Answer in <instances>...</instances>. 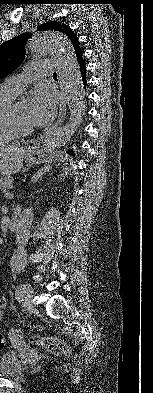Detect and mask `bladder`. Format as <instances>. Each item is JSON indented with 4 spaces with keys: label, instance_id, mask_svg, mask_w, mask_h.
I'll list each match as a JSON object with an SVG mask.
<instances>
[{
    "label": "bladder",
    "instance_id": "31cf9c89",
    "mask_svg": "<svg viewBox=\"0 0 153 393\" xmlns=\"http://www.w3.org/2000/svg\"><path fill=\"white\" fill-rule=\"evenodd\" d=\"M22 374L23 366L16 352L9 351L0 355V377L12 379Z\"/></svg>",
    "mask_w": 153,
    "mask_h": 393
}]
</instances>
